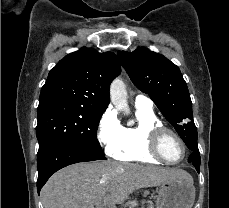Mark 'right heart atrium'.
<instances>
[{
    "mask_svg": "<svg viewBox=\"0 0 229 208\" xmlns=\"http://www.w3.org/2000/svg\"><path fill=\"white\" fill-rule=\"evenodd\" d=\"M97 140L109 154H113L121 144L122 125L111 108L106 109L99 118Z\"/></svg>",
    "mask_w": 229,
    "mask_h": 208,
    "instance_id": "1",
    "label": "right heart atrium"
}]
</instances>
